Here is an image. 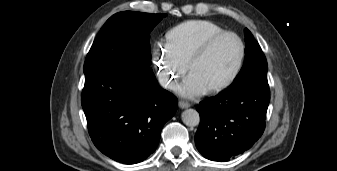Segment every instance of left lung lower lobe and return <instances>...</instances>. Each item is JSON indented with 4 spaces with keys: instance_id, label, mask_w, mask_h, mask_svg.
Segmentation results:
<instances>
[{
    "instance_id": "obj_1",
    "label": "left lung lower lobe",
    "mask_w": 337,
    "mask_h": 171,
    "mask_svg": "<svg viewBox=\"0 0 337 171\" xmlns=\"http://www.w3.org/2000/svg\"><path fill=\"white\" fill-rule=\"evenodd\" d=\"M269 101V85L251 83L200 102L195 135L199 152L209 160L226 162L250 149L265 129Z\"/></svg>"
}]
</instances>
